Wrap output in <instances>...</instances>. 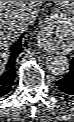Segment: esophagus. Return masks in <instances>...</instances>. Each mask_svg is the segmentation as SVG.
Masks as SVG:
<instances>
[{
  "label": "esophagus",
  "instance_id": "obj_1",
  "mask_svg": "<svg viewBox=\"0 0 74 122\" xmlns=\"http://www.w3.org/2000/svg\"><path fill=\"white\" fill-rule=\"evenodd\" d=\"M48 32H49L48 27L46 24H44L38 35V46L40 48H45L47 46Z\"/></svg>",
  "mask_w": 74,
  "mask_h": 122
}]
</instances>
